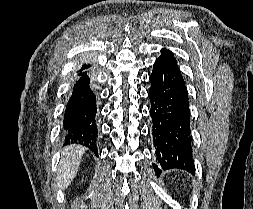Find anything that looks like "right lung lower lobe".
Instances as JSON below:
<instances>
[{
  "label": "right lung lower lobe",
  "instance_id": "obj_1",
  "mask_svg": "<svg viewBox=\"0 0 253 209\" xmlns=\"http://www.w3.org/2000/svg\"><path fill=\"white\" fill-rule=\"evenodd\" d=\"M96 97L87 71L79 72L63 118L65 144L76 143L91 149L98 156Z\"/></svg>",
  "mask_w": 253,
  "mask_h": 209
}]
</instances>
